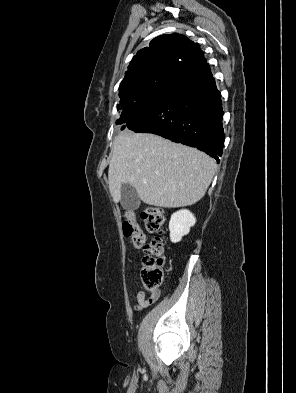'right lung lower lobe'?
I'll return each instance as SVG.
<instances>
[{
    "instance_id": "98d812e1",
    "label": "right lung lower lobe",
    "mask_w": 296,
    "mask_h": 393,
    "mask_svg": "<svg viewBox=\"0 0 296 393\" xmlns=\"http://www.w3.org/2000/svg\"><path fill=\"white\" fill-rule=\"evenodd\" d=\"M221 94L205 58L181 67L124 127L196 147L219 163L224 146Z\"/></svg>"
}]
</instances>
